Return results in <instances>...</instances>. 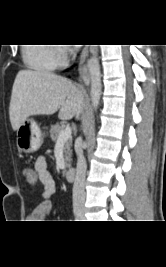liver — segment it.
<instances>
[{"mask_svg": "<svg viewBox=\"0 0 166 267\" xmlns=\"http://www.w3.org/2000/svg\"><path fill=\"white\" fill-rule=\"evenodd\" d=\"M84 97L71 80L54 73L21 70L18 72L9 107V116L14 131L29 116L52 115L68 120L79 118Z\"/></svg>", "mask_w": 166, "mask_h": 267, "instance_id": "obj_1", "label": "liver"}]
</instances>
